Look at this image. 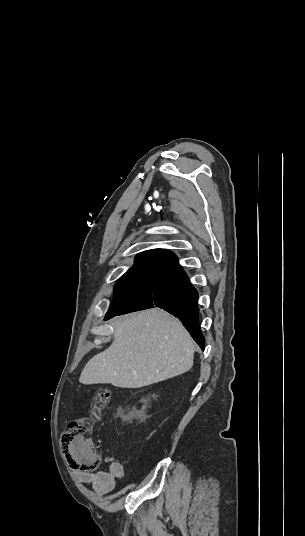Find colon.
<instances>
[{
    "mask_svg": "<svg viewBox=\"0 0 305 536\" xmlns=\"http://www.w3.org/2000/svg\"><path fill=\"white\" fill-rule=\"evenodd\" d=\"M110 392L99 390L88 415L71 422L67 435L60 437V450L66 454L70 471H105L107 463L100 460V453L90 435L93 424L101 418L108 405Z\"/></svg>",
    "mask_w": 305,
    "mask_h": 536,
    "instance_id": "1",
    "label": "colon"
}]
</instances>
